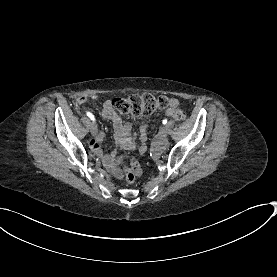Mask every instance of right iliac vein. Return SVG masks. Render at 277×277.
<instances>
[{"mask_svg":"<svg viewBox=\"0 0 277 277\" xmlns=\"http://www.w3.org/2000/svg\"><path fill=\"white\" fill-rule=\"evenodd\" d=\"M90 131H91V134H92L93 136L97 135V133H98V128H97V125H96L95 122H91V124H90Z\"/></svg>","mask_w":277,"mask_h":277,"instance_id":"63e3f726","label":"right iliac vein"}]
</instances>
